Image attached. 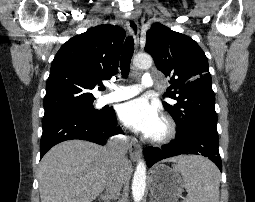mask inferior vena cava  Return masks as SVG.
<instances>
[{
	"mask_svg": "<svg viewBox=\"0 0 255 202\" xmlns=\"http://www.w3.org/2000/svg\"><path fill=\"white\" fill-rule=\"evenodd\" d=\"M107 150L114 159V169L108 178L105 186L106 197L108 200H116L123 185V165L128 161L126 153L128 151V141L125 136L119 135L110 140Z\"/></svg>",
	"mask_w": 255,
	"mask_h": 202,
	"instance_id": "602c4592",
	"label": "inferior vena cava"
}]
</instances>
